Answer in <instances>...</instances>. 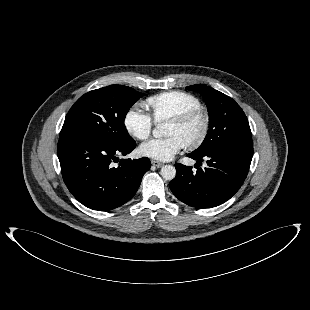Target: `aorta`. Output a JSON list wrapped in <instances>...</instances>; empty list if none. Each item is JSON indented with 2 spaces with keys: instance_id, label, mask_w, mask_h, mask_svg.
<instances>
[{
  "instance_id": "762f6f07",
  "label": "aorta",
  "mask_w": 310,
  "mask_h": 310,
  "mask_svg": "<svg viewBox=\"0 0 310 310\" xmlns=\"http://www.w3.org/2000/svg\"><path fill=\"white\" fill-rule=\"evenodd\" d=\"M152 134L156 138H160L164 136V130L162 125H158L155 129H153ZM161 176L165 180H172L176 176V169L172 165H165L161 168Z\"/></svg>"
}]
</instances>
